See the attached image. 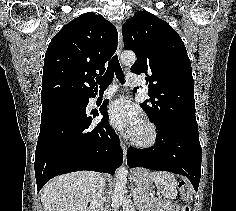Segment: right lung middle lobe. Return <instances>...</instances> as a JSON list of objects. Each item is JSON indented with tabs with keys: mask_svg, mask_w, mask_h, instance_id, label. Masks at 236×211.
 I'll use <instances>...</instances> for the list:
<instances>
[{
	"mask_svg": "<svg viewBox=\"0 0 236 211\" xmlns=\"http://www.w3.org/2000/svg\"><path fill=\"white\" fill-rule=\"evenodd\" d=\"M84 103L83 99H56L48 103L42 104V108L57 106H73L80 107Z\"/></svg>",
	"mask_w": 236,
	"mask_h": 211,
	"instance_id": "dd1d6c3e",
	"label": "right lung middle lobe"
}]
</instances>
